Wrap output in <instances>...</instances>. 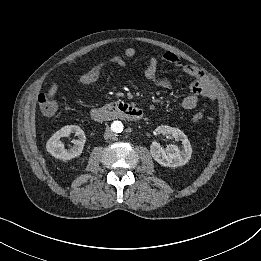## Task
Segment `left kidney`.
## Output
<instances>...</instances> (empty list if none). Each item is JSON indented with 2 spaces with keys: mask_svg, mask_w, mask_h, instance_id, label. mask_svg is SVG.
<instances>
[{
  "mask_svg": "<svg viewBox=\"0 0 261 261\" xmlns=\"http://www.w3.org/2000/svg\"><path fill=\"white\" fill-rule=\"evenodd\" d=\"M157 133L172 135L177 141H180L183 150H180L177 145L171 144L166 148L160 146L156 141L150 146V153L153 159L160 165L165 167H178L185 165L192 154V147L187 136L178 128L162 125L157 127Z\"/></svg>",
  "mask_w": 261,
  "mask_h": 261,
  "instance_id": "1",
  "label": "left kidney"
}]
</instances>
